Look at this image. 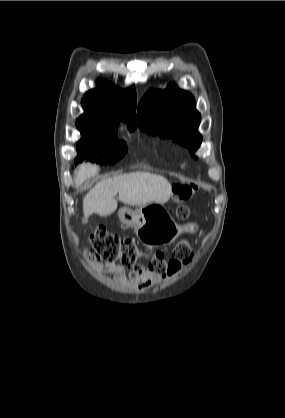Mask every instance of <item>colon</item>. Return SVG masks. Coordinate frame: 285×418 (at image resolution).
<instances>
[{
  "instance_id": "1",
  "label": "colon",
  "mask_w": 285,
  "mask_h": 418,
  "mask_svg": "<svg viewBox=\"0 0 285 418\" xmlns=\"http://www.w3.org/2000/svg\"><path fill=\"white\" fill-rule=\"evenodd\" d=\"M175 194L181 202H185L191 197L189 190H181L178 184L174 185ZM180 219H187L189 211L185 206L178 209ZM91 244L88 247V257L93 260L103 262L118 261L126 267H131L142 255L134 240L131 238H123L115 234L107 232L100 226L97 227L90 238ZM193 258L188 241L181 238L174 247L170 257L162 252H156L149 262L150 270L158 275L165 276L173 274L181 267L189 264Z\"/></svg>"
}]
</instances>
